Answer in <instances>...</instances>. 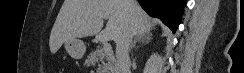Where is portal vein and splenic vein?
I'll return each mask as SVG.
<instances>
[{
    "instance_id": "18ae733b",
    "label": "portal vein and splenic vein",
    "mask_w": 244,
    "mask_h": 73,
    "mask_svg": "<svg viewBox=\"0 0 244 73\" xmlns=\"http://www.w3.org/2000/svg\"><path fill=\"white\" fill-rule=\"evenodd\" d=\"M103 50L106 53L111 52V50H112L111 45L107 42L103 43Z\"/></svg>"
}]
</instances>
